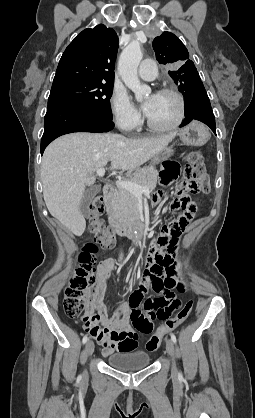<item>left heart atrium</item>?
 I'll return each instance as SVG.
<instances>
[{"label":"left heart atrium","mask_w":255,"mask_h":418,"mask_svg":"<svg viewBox=\"0 0 255 418\" xmlns=\"http://www.w3.org/2000/svg\"><path fill=\"white\" fill-rule=\"evenodd\" d=\"M156 95H152L147 101L143 104V111L147 115L149 111L151 110V107L153 105L154 99Z\"/></svg>","instance_id":"obj_1"}]
</instances>
